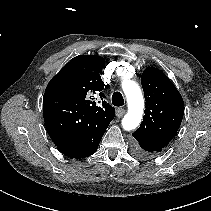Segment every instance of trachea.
<instances>
[{"mask_svg":"<svg viewBox=\"0 0 211 211\" xmlns=\"http://www.w3.org/2000/svg\"><path fill=\"white\" fill-rule=\"evenodd\" d=\"M112 104L114 106L120 107L124 105V98L120 92H115L112 95Z\"/></svg>","mask_w":211,"mask_h":211,"instance_id":"3493384b","label":"trachea"}]
</instances>
